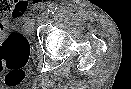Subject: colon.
Segmentation results:
<instances>
[{
  "label": "colon",
  "instance_id": "obj_1",
  "mask_svg": "<svg viewBox=\"0 0 131 89\" xmlns=\"http://www.w3.org/2000/svg\"><path fill=\"white\" fill-rule=\"evenodd\" d=\"M7 7L6 12H10L11 3ZM29 55L30 43L23 34L11 32L4 37L0 43V75L7 86H17L23 81Z\"/></svg>",
  "mask_w": 131,
  "mask_h": 89
}]
</instances>
